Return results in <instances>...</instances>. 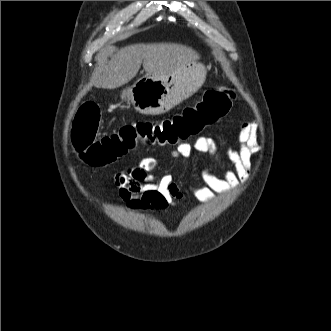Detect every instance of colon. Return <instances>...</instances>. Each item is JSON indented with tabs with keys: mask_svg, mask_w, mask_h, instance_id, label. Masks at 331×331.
<instances>
[{
	"mask_svg": "<svg viewBox=\"0 0 331 331\" xmlns=\"http://www.w3.org/2000/svg\"><path fill=\"white\" fill-rule=\"evenodd\" d=\"M235 99L227 88L207 91L195 106L161 121L142 120L118 131L97 137L100 108L85 102L73 121L71 141L79 158L91 166H104L133 150L138 143L173 145L198 135L206 127L225 117Z\"/></svg>",
	"mask_w": 331,
	"mask_h": 331,
	"instance_id": "colon-1",
	"label": "colon"
}]
</instances>
